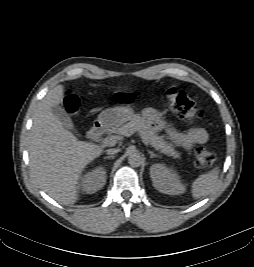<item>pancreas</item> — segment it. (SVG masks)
Returning <instances> with one entry per match:
<instances>
[{
  "label": "pancreas",
  "instance_id": "pancreas-1",
  "mask_svg": "<svg viewBox=\"0 0 254 267\" xmlns=\"http://www.w3.org/2000/svg\"><path fill=\"white\" fill-rule=\"evenodd\" d=\"M138 132L141 138L145 139L148 144L154 147L156 150L161 153L172 156L175 159L180 158V154L174 149L173 145L164 140L163 136H159L139 115H135V117L128 123L124 124L121 127L112 128L109 130V134L112 133L118 135L127 136L128 134H132Z\"/></svg>",
  "mask_w": 254,
  "mask_h": 267
}]
</instances>
